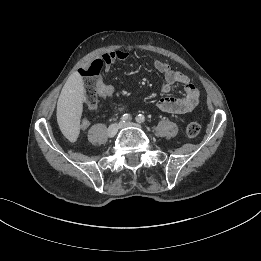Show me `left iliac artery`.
<instances>
[{
    "instance_id": "left-iliac-artery-1",
    "label": "left iliac artery",
    "mask_w": 261,
    "mask_h": 261,
    "mask_svg": "<svg viewBox=\"0 0 261 261\" xmlns=\"http://www.w3.org/2000/svg\"><path fill=\"white\" fill-rule=\"evenodd\" d=\"M136 121L138 123H143L145 121V117L142 115V114H139L137 117H136Z\"/></svg>"
}]
</instances>
